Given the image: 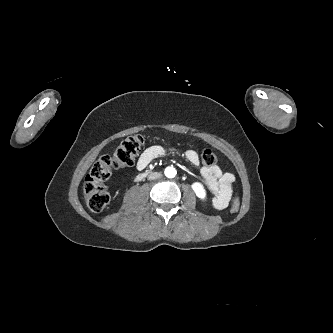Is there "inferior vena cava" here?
Returning <instances> with one entry per match:
<instances>
[{"label":"inferior vena cava","mask_w":333,"mask_h":333,"mask_svg":"<svg viewBox=\"0 0 333 333\" xmlns=\"http://www.w3.org/2000/svg\"><path fill=\"white\" fill-rule=\"evenodd\" d=\"M161 177V173L159 172H152L149 174L148 179L149 180H155Z\"/></svg>","instance_id":"1"}]
</instances>
